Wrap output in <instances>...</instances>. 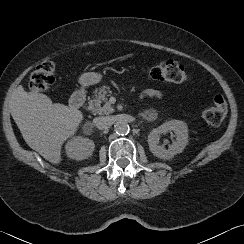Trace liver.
I'll use <instances>...</instances> for the list:
<instances>
[{
	"label": "liver",
	"mask_w": 244,
	"mask_h": 244,
	"mask_svg": "<svg viewBox=\"0 0 244 244\" xmlns=\"http://www.w3.org/2000/svg\"><path fill=\"white\" fill-rule=\"evenodd\" d=\"M11 115L27 145L52 164L61 162V147L83 120L81 111L53 103L42 93L19 86L11 102Z\"/></svg>",
	"instance_id": "liver-1"
}]
</instances>
